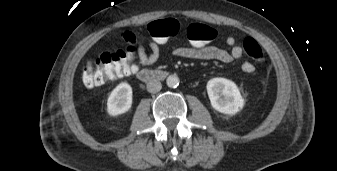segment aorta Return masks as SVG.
I'll use <instances>...</instances> for the list:
<instances>
[{"instance_id":"762f6f07","label":"aorta","mask_w":337,"mask_h":171,"mask_svg":"<svg viewBox=\"0 0 337 171\" xmlns=\"http://www.w3.org/2000/svg\"><path fill=\"white\" fill-rule=\"evenodd\" d=\"M179 78L176 75H169L166 79V84L170 88H176L179 85Z\"/></svg>"}]
</instances>
